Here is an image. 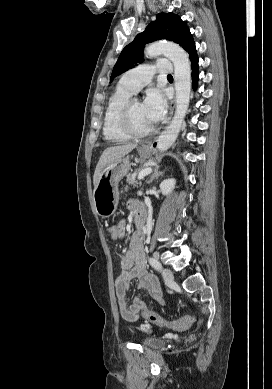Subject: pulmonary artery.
I'll use <instances>...</instances> for the list:
<instances>
[{
    "label": "pulmonary artery",
    "mask_w": 272,
    "mask_h": 389,
    "mask_svg": "<svg viewBox=\"0 0 272 389\" xmlns=\"http://www.w3.org/2000/svg\"><path fill=\"white\" fill-rule=\"evenodd\" d=\"M172 71V63L168 59H162L154 64H142L128 71L122 76L119 84L137 93L151 81L155 73L170 74Z\"/></svg>",
    "instance_id": "obj_1"
}]
</instances>
